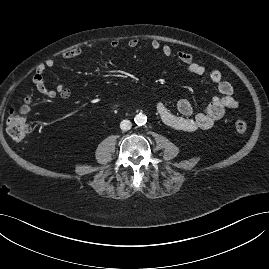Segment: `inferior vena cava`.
<instances>
[{
  "instance_id": "obj_1",
  "label": "inferior vena cava",
  "mask_w": 269,
  "mask_h": 269,
  "mask_svg": "<svg viewBox=\"0 0 269 269\" xmlns=\"http://www.w3.org/2000/svg\"><path fill=\"white\" fill-rule=\"evenodd\" d=\"M132 127V123L129 121V120H123L121 121L120 123V128L123 130V131H127L129 129H131Z\"/></svg>"
}]
</instances>
